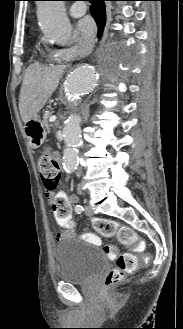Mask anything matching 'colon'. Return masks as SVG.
<instances>
[{"label":"colon","instance_id":"obj_1","mask_svg":"<svg viewBox=\"0 0 183 329\" xmlns=\"http://www.w3.org/2000/svg\"><path fill=\"white\" fill-rule=\"evenodd\" d=\"M38 169L46 189L53 191L58 186L61 175L57 160L48 151H45L39 158ZM93 225L96 232L102 237L116 236L120 243L131 247L134 251L141 252L145 249V243L129 227L104 218L95 219ZM104 250L109 257L116 258L115 267L108 272L105 278V286L110 288L119 284L126 274L135 271L138 261L132 253L117 255L113 246H106Z\"/></svg>","mask_w":183,"mask_h":329}]
</instances>
